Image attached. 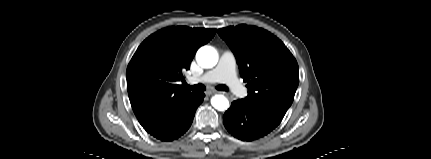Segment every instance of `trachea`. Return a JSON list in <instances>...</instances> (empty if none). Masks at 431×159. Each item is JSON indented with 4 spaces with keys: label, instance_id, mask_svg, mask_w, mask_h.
<instances>
[{
    "label": "trachea",
    "instance_id": "obj_1",
    "mask_svg": "<svg viewBox=\"0 0 431 159\" xmlns=\"http://www.w3.org/2000/svg\"><path fill=\"white\" fill-rule=\"evenodd\" d=\"M185 87L194 93H202L203 91L206 90V88L203 84H196L194 86H190L188 84H185ZM216 89L220 90V91H228V88L223 84L216 86Z\"/></svg>",
    "mask_w": 431,
    "mask_h": 159
}]
</instances>
